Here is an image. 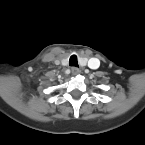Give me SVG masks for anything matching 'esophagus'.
I'll list each match as a JSON object with an SVG mask.
<instances>
[{"label": "esophagus", "instance_id": "1", "mask_svg": "<svg viewBox=\"0 0 145 145\" xmlns=\"http://www.w3.org/2000/svg\"><path fill=\"white\" fill-rule=\"evenodd\" d=\"M71 71H72V74H73V75H77V74L80 73V70H79V68H77V67H72V68H71Z\"/></svg>", "mask_w": 145, "mask_h": 145}]
</instances>
